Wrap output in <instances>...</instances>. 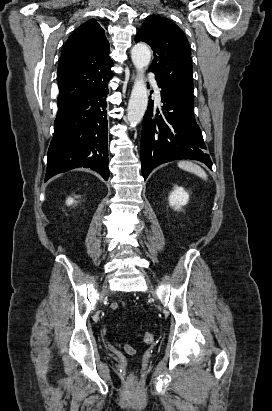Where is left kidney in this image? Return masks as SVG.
I'll list each match as a JSON object with an SVG mask.
<instances>
[{"instance_id":"left-kidney-1","label":"left kidney","mask_w":272,"mask_h":411,"mask_svg":"<svg viewBox=\"0 0 272 411\" xmlns=\"http://www.w3.org/2000/svg\"><path fill=\"white\" fill-rule=\"evenodd\" d=\"M189 201V194L184 188L175 186L174 190L169 195V205L175 210H179L182 206L186 205Z\"/></svg>"}]
</instances>
